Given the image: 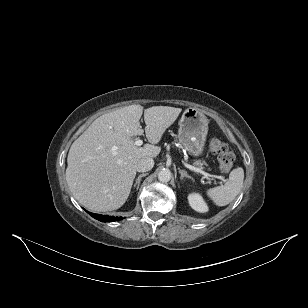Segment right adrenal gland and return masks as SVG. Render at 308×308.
<instances>
[{
	"instance_id": "right-adrenal-gland-1",
	"label": "right adrenal gland",
	"mask_w": 308,
	"mask_h": 308,
	"mask_svg": "<svg viewBox=\"0 0 308 308\" xmlns=\"http://www.w3.org/2000/svg\"><path fill=\"white\" fill-rule=\"evenodd\" d=\"M147 175H148V173H143V174H140V175L137 177L136 182H135V184H134V188L136 187V190L139 189L140 182H141V178H142V177H145V176H147Z\"/></svg>"
}]
</instances>
